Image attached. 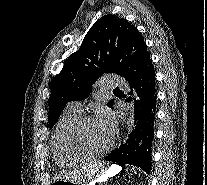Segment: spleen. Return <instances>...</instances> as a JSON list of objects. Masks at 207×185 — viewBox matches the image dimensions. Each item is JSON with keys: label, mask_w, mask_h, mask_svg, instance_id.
I'll return each instance as SVG.
<instances>
[{"label": "spleen", "mask_w": 207, "mask_h": 185, "mask_svg": "<svg viewBox=\"0 0 207 185\" xmlns=\"http://www.w3.org/2000/svg\"><path fill=\"white\" fill-rule=\"evenodd\" d=\"M127 171H140V166H127ZM132 176L133 177H142L143 173L142 172H133Z\"/></svg>", "instance_id": "obj_1"}]
</instances>
